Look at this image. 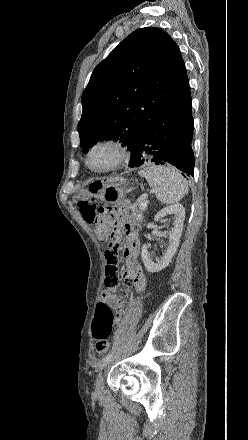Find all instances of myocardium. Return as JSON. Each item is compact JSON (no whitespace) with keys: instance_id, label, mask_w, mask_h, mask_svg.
<instances>
[{"instance_id":"f54148a6","label":"myocardium","mask_w":248,"mask_h":440,"mask_svg":"<svg viewBox=\"0 0 248 440\" xmlns=\"http://www.w3.org/2000/svg\"><path fill=\"white\" fill-rule=\"evenodd\" d=\"M99 150H109L112 153V159L102 167L92 166L90 159L92 155ZM129 152L127 147L116 139H102L92 144L85 155V165L93 173L104 174L119 170L128 160Z\"/></svg>"}]
</instances>
